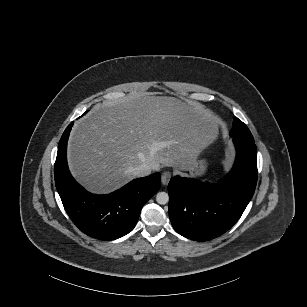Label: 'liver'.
<instances>
[{"mask_svg":"<svg viewBox=\"0 0 307 307\" xmlns=\"http://www.w3.org/2000/svg\"><path fill=\"white\" fill-rule=\"evenodd\" d=\"M203 106L148 93L105 100L76 123L69 146L73 176L89 191L110 193L135 178L131 167L190 170L200 152Z\"/></svg>","mask_w":307,"mask_h":307,"instance_id":"liver-1","label":"liver"}]
</instances>
